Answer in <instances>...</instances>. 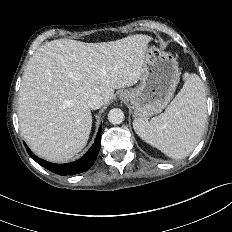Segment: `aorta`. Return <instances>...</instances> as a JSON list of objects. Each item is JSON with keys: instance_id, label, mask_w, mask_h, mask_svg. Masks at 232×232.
Here are the masks:
<instances>
[{"instance_id": "1", "label": "aorta", "mask_w": 232, "mask_h": 232, "mask_svg": "<svg viewBox=\"0 0 232 232\" xmlns=\"http://www.w3.org/2000/svg\"><path fill=\"white\" fill-rule=\"evenodd\" d=\"M124 113L120 108H113L108 113V120L114 125L121 124L124 121Z\"/></svg>"}]
</instances>
